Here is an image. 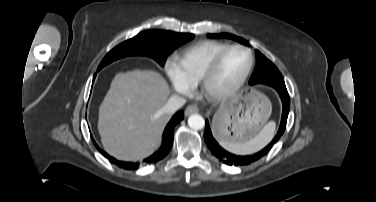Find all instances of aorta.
Returning <instances> with one entry per match:
<instances>
[{"instance_id":"obj_1","label":"aorta","mask_w":376,"mask_h":202,"mask_svg":"<svg viewBox=\"0 0 376 202\" xmlns=\"http://www.w3.org/2000/svg\"><path fill=\"white\" fill-rule=\"evenodd\" d=\"M188 125L193 130H201L205 126V120L201 115L193 114L188 118Z\"/></svg>"}]
</instances>
